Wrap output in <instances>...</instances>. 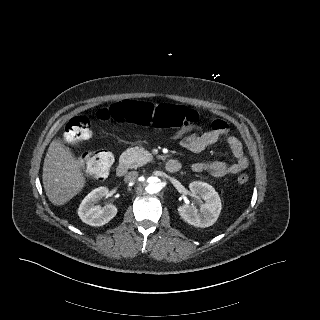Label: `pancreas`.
<instances>
[{
    "instance_id": "pancreas-1",
    "label": "pancreas",
    "mask_w": 320,
    "mask_h": 320,
    "mask_svg": "<svg viewBox=\"0 0 320 320\" xmlns=\"http://www.w3.org/2000/svg\"><path fill=\"white\" fill-rule=\"evenodd\" d=\"M148 162V152L137 147L128 148L120 156V163L127 168L136 169Z\"/></svg>"
}]
</instances>
